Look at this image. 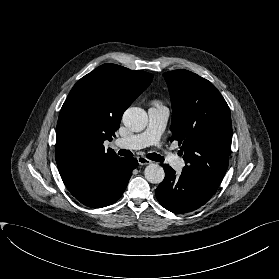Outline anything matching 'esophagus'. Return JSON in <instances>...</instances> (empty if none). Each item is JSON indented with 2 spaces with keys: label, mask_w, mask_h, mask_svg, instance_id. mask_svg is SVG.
I'll use <instances>...</instances> for the list:
<instances>
[{
  "label": "esophagus",
  "mask_w": 279,
  "mask_h": 279,
  "mask_svg": "<svg viewBox=\"0 0 279 279\" xmlns=\"http://www.w3.org/2000/svg\"><path fill=\"white\" fill-rule=\"evenodd\" d=\"M137 160L140 165H149L151 163V161L145 157H138Z\"/></svg>",
  "instance_id": "1"
}]
</instances>
